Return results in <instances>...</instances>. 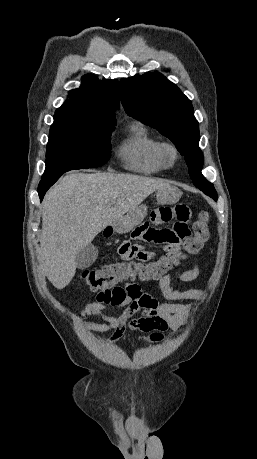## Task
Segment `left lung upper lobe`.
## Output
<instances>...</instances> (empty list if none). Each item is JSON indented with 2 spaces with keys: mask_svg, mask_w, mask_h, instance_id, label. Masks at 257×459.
Here are the masks:
<instances>
[{
  "mask_svg": "<svg viewBox=\"0 0 257 459\" xmlns=\"http://www.w3.org/2000/svg\"><path fill=\"white\" fill-rule=\"evenodd\" d=\"M120 98L129 116L156 128L176 145L195 186L216 201V190L201 173L204 157L192 103L179 88L161 73H146L121 79Z\"/></svg>",
  "mask_w": 257,
  "mask_h": 459,
  "instance_id": "1",
  "label": "left lung upper lobe"
}]
</instances>
